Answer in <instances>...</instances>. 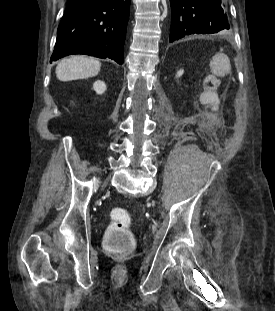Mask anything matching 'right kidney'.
Masks as SVG:
<instances>
[{"instance_id":"ca27d5eb","label":"right kidney","mask_w":275,"mask_h":311,"mask_svg":"<svg viewBox=\"0 0 275 311\" xmlns=\"http://www.w3.org/2000/svg\"><path fill=\"white\" fill-rule=\"evenodd\" d=\"M106 84L104 81L98 80L94 83L93 89L97 94H103L106 90ZM102 103L104 102L103 100L101 101Z\"/></svg>"}]
</instances>
